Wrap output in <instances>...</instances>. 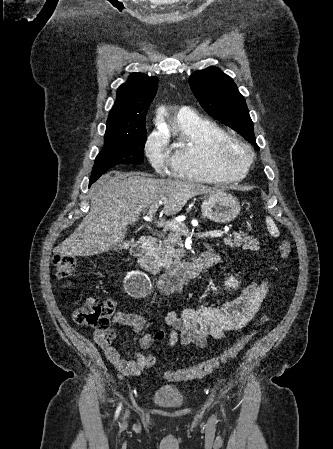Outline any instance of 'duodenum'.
<instances>
[{"instance_id":"obj_1","label":"duodenum","mask_w":333,"mask_h":449,"mask_svg":"<svg viewBox=\"0 0 333 449\" xmlns=\"http://www.w3.org/2000/svg\"><path fill=\"white\" fill-rule=\"evenodd\" d=\"M156 246V238L146 236L132 246L131 254L137 258L139 265L144 270L155 276L156 286L163 293H171L179 289L205 271L213 263L212 254L204 252L194 260L172 271L160 273L154 263Z\"/></svg>"}]
</instances>
